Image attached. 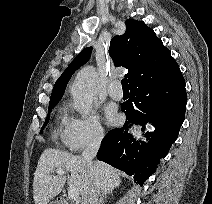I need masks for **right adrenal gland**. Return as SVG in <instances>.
<instances>
[{"instance_id":"1","label":"right adrenal gland","mask_w":212,"mask_h":204,"mask_svg":"<svg viewBox=\"0 0 212 204\" xmlns=\"http://www.w3.org/2000/svg\"><path fill=\"white\" fill-rule=\"evenodd\" d=\"M107 195H110V192L103 191V192L100 194L98 204H103L104 201L107 199Z\"/></svg>"}]
</instances>
